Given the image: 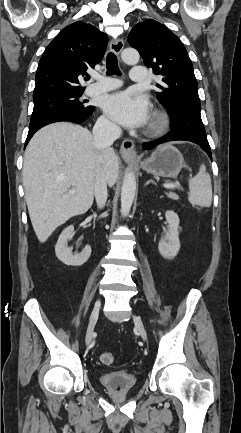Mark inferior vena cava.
Returning <instances> with one entry per match:
<instances>
[{"mask_svg": "<svg viewBox=\"0 0 241 433\" xmlns=\"http://www.w3.org/2000/svg\"><path fill=\"white\" fill-rule=\"evenodd\" d=\"M122 133L121 128L107 120L97 121L93 127V142L98 153L110 147ZM94 193L98 208H103L107 201V182L101 168L95 174Z\"/></svg>", "mask_w": 241, "mask_h": 433, "instance_id": "602c4592", "label": "inferior vena cava"}]
</instances>
